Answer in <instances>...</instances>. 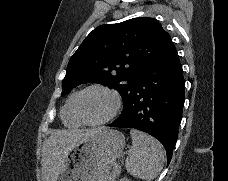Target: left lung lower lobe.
Here are the masks:
<instances>
[{
	"label": "left lung lower lobe",
	"mask_w": 228,
	"mask_h": 181,
	"mask_svg": "<svg viewBox=\"0 0 228 181\" xmlns=\"http://www.w3.org/2000/svg\"><path fill=\"white\" fill-rule=\"evenodd\" d=\"M185 80L170 41L139 73L122 116L110 127L135 128L158 139L171 161L184 106Z\"/></svg>",
	"instance_id": "obj_1"
}]
</instances>
